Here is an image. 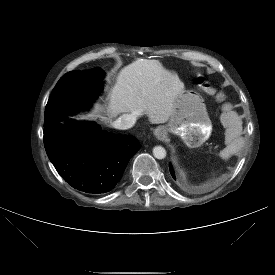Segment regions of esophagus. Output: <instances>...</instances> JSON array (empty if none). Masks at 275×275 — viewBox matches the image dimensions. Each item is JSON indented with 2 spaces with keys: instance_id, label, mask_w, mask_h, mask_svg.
Segmentation results:
<instances>
[{
  "instance_id": "34e87169",
  "label": "esophagus",
  "mask_w": 275,
  "mask_h": 275,
  "mask_svg": "<svg viewBox=\"0 0 275 275\" xmlns=\"http://www.w3.org/2000/svg\"><path fill=\"white\" fill-rule=\"evenodd\" d=\"M164 134H165V129L162 126H159L154 130V135L158 139H161L164 136Z\"/></svg>"
}]
</instances>
